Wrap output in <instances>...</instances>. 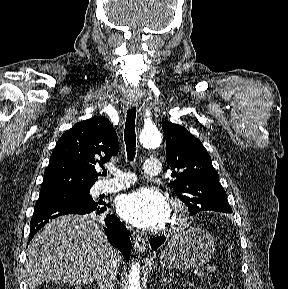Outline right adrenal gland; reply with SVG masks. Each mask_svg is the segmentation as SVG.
Returning a JSON list of instances; mask_svg holds the SVG:
<instances>
[{
    "label": "right adrenal gland",
    "mask_w": 288,
    "mask_h": 289,
    "mask_svg": "<svg viewBox=\"0 0 288 289\" xmlns=\"http://www.w3.org/2000/svg\"><path fill=\"white\" fill-rule=\"evenodd\" d=\"M92 287H93V289H98V288H96V285H94V284H92Z\"/></svg>",
    "instance_id": "2a0ac1e0"
}]
</instances>
